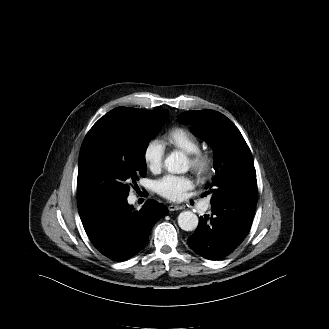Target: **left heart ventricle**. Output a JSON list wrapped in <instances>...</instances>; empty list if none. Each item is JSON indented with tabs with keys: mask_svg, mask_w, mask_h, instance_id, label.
Segmentation results:
<instances>
[{
	"mask_svg": "<svg viewBox=\"0 0 329 329\" xmlns=\"http://www.w3.org/2000/svg\"><path fill=\"white\" fill-rule=\"evenodd\" d=\"M188 166L190 167V162H189V160H188Z\"/></svg>",
	"mask_w": 329,
	"mask_h": 329,
	"instance_id": "obj_1",
	"label": "left heart ventricle"
}]
</instances>
